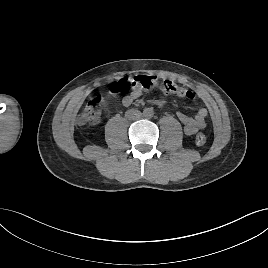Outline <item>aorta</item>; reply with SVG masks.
<instances>
[{
	"label": "aorta",
	"mask_w": 268,
	"mask_h": 268,
	"mask_svg": "<svg viewBox=\"0 0 268 268\" xmlns=\"http://www.w3.org/2000/svg\"><path fill=\"white\" fill-rule=\"evenodd\" d=\"M143 114L146 118H151V117H153L154 112H153L152 108H146V109H144Z\"/></svg>",
	"instance_id": "762f6f07"
}]
</instances>
